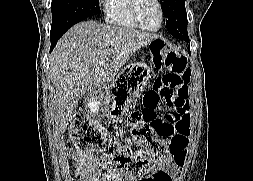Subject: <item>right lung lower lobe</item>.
<instances>
[{
  "mask_svg": "<svg viewBox=\"0 0 253 181\" xmlns=\"http://www.w3.org/2000/svg\"><path fill=\"white\" fill-rule=\"evenodd\" d=\"M65 32H62V33H59L55 36H51L50 39H51V49L50 51L55 47L57 41L62 37V35L64 34Z\"/></svg>",
  "mask_w": 253,
  "mask_h": 181,
  "instance_id": "obj_1",
  "label": "right lung lower lobe"
}]
</instances>
